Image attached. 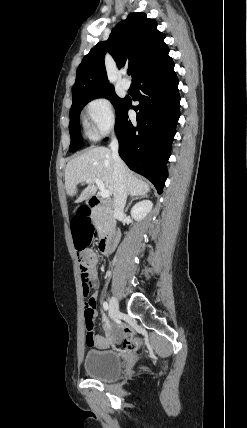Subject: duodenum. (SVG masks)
<instances>
[{
    "label": "duodenum",
    "instance_id": "1",
    "mask_svg": "<svg viewBox=\"0 0 247 428\" xmlns=\"http://www.w3.org/2000/svg\"><path fill=\"white\" fill-rule=\"evenodd\" d=\"M88 204L90 207H98L100 205L110 207V203L107 201H104L96 196H91L88 199ZM119 242V233L117 231H109L108 233L104 234L100 241H99V250L103 253H107L111 250H113Z\"/></svg>",
    "mask_w": 247,
    "mask_h": 428
}]
</instances>
